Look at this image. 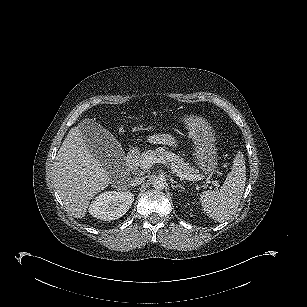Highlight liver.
Masks as SVG:
<instances>
[{"label":"liver","mask_w":307,"mask_h":307,"mask_svg":"<svg viewBox=\"0 0 307 307\" xmlns=\"http://www.w3.org/2000/svg\"><path fill=\"white\" fill-rule=\"evenodd\" d=\"M88 123L85 119L69 131L52 170L54 185L75 218L85 217L90 200L110 183L109 171L85 144L83 129Z\"/></svg>","instance_id":"1"}]
</instances>
